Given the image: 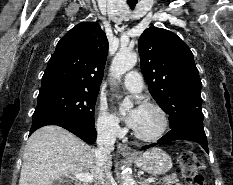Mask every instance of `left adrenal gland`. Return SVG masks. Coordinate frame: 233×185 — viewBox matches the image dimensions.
<instances>
[{
	"mask_svg": "<svg viewBox=\"0 0 233 185\" xmlns=\"http://www.w3.org/2000/svg\"><path fill=\"white\" fill-rule=\"evenodd\" d=\"M140 184H141V185H149V184H147V183L145 182V180H143V178H140Z\"/></svg>",
	"mask_w": 233,
	"mask_h": 185,
	"instance_id": "a2214340",
	"label": "left adrenal gland"
}]
</instances>
